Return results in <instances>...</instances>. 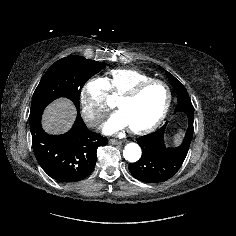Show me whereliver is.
<instances>
[{
    "label": "liver",
    "instance_id": "liver-1",
    "mask_svg": "<svg viewBox=\"0 0 236 236\" xmlns=\"http://www.w3.org/2000/svg\"><path fill=\"white\" fill-rule=\"evenodd\" d=\"M76 109L73 103L65 98H60L51 103L43 115L44 129L51 134L68 131L75 120Z\"/></svg>",
    "mask_w": 236,
    "mask_h": 236
}]
</instances>
